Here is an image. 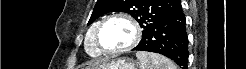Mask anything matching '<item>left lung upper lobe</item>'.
<instances>
[{
    "label": "left lung upper lobe",
    "instance_id": "1",
    "mask_svg": "<svg viewBox=\"0 0 246 69\" xmlns=\"http://www.w3.org/2000/svg\"><path fill=\"white\" fill-rule=\"evenodd\" d=\"M179 4L180 0H98L88 25L108 12H126L138 21L144 32Z\"/></svg>",
    "mask_w": 246,
    "mask_h": 69
}]
</instances>
